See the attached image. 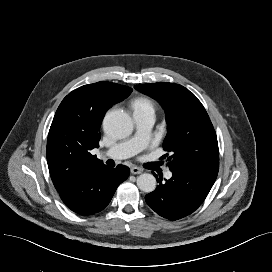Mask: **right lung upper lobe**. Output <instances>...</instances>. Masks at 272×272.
Instances as JSON below:
<instances>
[{
  "label": "right lung upper lobe",
  "mask_w": 272,
  "mask_h": 272,
  "mask_svg": "<svg viewBox=\"0 0 272 272\" xmlns=\"http://www.w3.org/2000/svg\"><path fill=\"white\" fill-rule=\"evenodd\" d=\"M131 92L130 87L101 81L81 86L63 99L47 141L48 168L59 193L105 166L91 150L99 146L105 112Z\"/></svg>",
  "instance_id": "cb5924a9"
}]
</instances>
